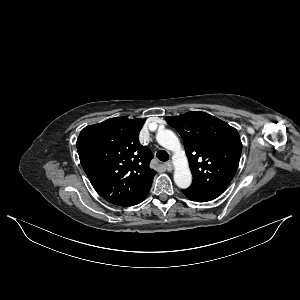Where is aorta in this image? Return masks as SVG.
<instances>
[{
    "label": "aorta",
    "instance_id": "aorta-1",
    "mask_svg": "<svg viewBox=\"0 0 300 300\" xmlns=\"http://www.w3.org/2000/svg\"><path fill=\"white\" fill-rule=\"evenodd\" d=\"M157 142L164 148L174 152V182L181 188L186 189L191 185L192 174L189 168L188 159L181 148L180 141L175 133L168 129L160 130L156 135Z\"/></svg>",
    "mask_w": 300,
    "mask_h": 300
}]
</instances>
